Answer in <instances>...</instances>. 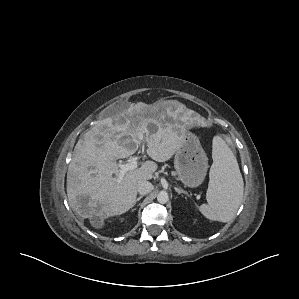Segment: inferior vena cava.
<instances>
[{
    "label": "inferior vena cava",
    "mask_w": 299,
    "mask_h": 299,
    "mask_svg": "<svg viewBox=\"0 0 299 299\" xmlns=\"http://www.w3.org/2000/svg\"><path fill=\"white\" fill-rule=\"evenodd\" d=\"M154 186L147 180H140L137 184V191L141 195H146L153 190Z\"/></svg>",
    "instance_id": "602c4592"
}]
</instances>
